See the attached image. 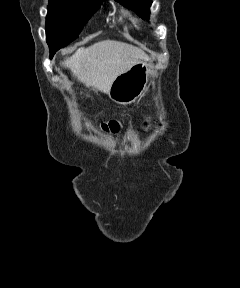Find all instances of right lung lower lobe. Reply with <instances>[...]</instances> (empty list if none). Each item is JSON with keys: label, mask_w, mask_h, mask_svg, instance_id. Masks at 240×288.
<instances>
[{"label": "right lung lower lobe", "mask_w": 240, "mask_h": 288, "mask_svg": "<svg viewBox=\"0 0 240 288\" xmlns=\"http://www.w3.org/2000/svg\"><path fill=\"white\" fill-rule=\"evenodd\" d=\"M55 54V52L50 51V58L52 59L53 55Z\"/></svg>", "instance_id": "1"}]
</instances>
